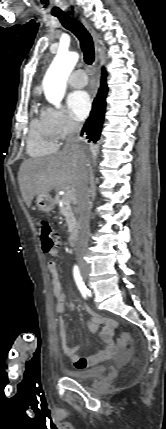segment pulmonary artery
Here are the masks:
<instances>
[{
  "label": "pulmonary artery",
  "mask_w": 166,
  "mask_h": 429,
  "mask_svg": "<svg viewBox=\"0 0 166 429\" xmlns=\"http://www.w3.org/2000/svg\"><path fill=\"white\" fill-rule=\"evenodd\" d=\"M88 82L87 75L84 70H75L69 77V84L72 87H84Z\"/></svg>",
  "instance_id": "obj_1"
}]
</instances>
